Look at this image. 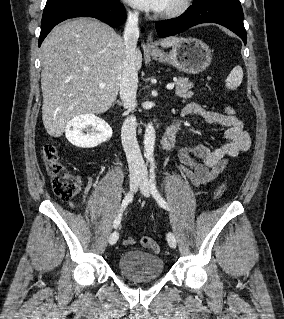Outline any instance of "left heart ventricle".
Returning <instances> with one entry per match:
<instances>
[{"mask_svg": "<svg viewBox=\"0 0 284 319\" xmlns=\"http://www.w3.org/2000/svg\"><path fill=\"white\" fill-rule=\"evenodd\" d=\"M178 0H167L165 7L162 11L169 9L171 6H173Z\"/></svg>", "mask_w": 284, "mask_h": 319, "instance_id": "1", "label": "left heart ventricle"}]
</instances>
